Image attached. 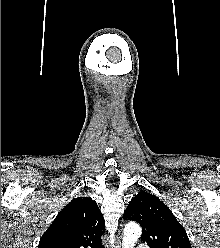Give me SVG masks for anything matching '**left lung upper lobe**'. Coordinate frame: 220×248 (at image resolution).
I'll list each match as a JSON object with an SVG mask.
<instances>
[{
	"label": "left lung upper lobe",
	"mask_w": 220,
	"mask_h": 248,
	"mask_svg": "<svg viewBox=\"0 0 220 248\" xmlns=\"http://www.w3.org/2000/svg\"><path fill=\"white\" fill-rule=\"evenodd\" d=\"M124 219L141 225V241L150 248H191L185 229L155 195L138 193L129 202Z\"/></svg>",
	"instance_id": "1"
}]
</instances>
